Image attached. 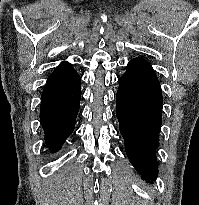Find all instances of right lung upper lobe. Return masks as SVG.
Returning a JSON list of instances; mask_svg holds the SVG:
<instances>
[{
	"label": "right lung upper lobe",
	"instance_id": "1",
	"mask_svg": "<svg viewBox=\"0 0 199 205\" xmlns=\"http://www.w3.org/2000/svg\"><path fill=\"white\" fill-rule=\"evenodd\" d=\"M75 70L72 68V66L68 63L63 61L57 68L54 70L53 73H71L74 72Z\"/></svg>",
	"mask_w": 199,
	"mask_h": 205
}]
</instances>
